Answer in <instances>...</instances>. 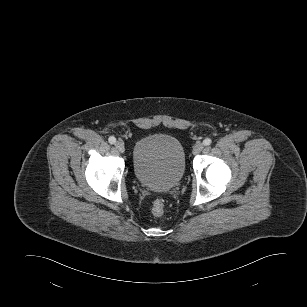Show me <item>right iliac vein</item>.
<instances>
[{
  "instance_id": "right-iliac-vein-1",
  "label": "right iliac vein",
  "mask_w": 307,
  "mask_h": 307,
  "mask_svg": "<svg viewBox=\"0 0 307 307\" xmlns=\"http://www.w3.org/2000/svg\"><path fill=\"white\" fill-rule=\"evenodd\" d=\"M115 147L120 153H123L125 151L124 143L122 141H117L115 143Z\"/></svg>"
}]
</instances>
